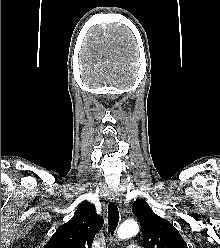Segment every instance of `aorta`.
Segmentation results:
<instances>
[{"instance_id": "762f6f07", "label": "aorta", "mask_w": 220, "mask_h": 248, "mask_svg": "<svg viewBox=\"0 0 220 248\" xmlns=\"http://www.w3.org/2000/svg\"><path fill=\"white\" fill-rule=\"evenodd\" d=\"M138 232V223L134 220H126L120 225L117 235L119 239H127L135 236Z\"/></svg>"}]
</instances>
